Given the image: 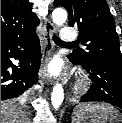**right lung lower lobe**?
I'll list each match as a JSON object with an SVG mask.
<instances>
[{"label":"right lung lower lobe","mask_w":122,"mask_h":123,"mask_svg":"<svg viewBox=\"0 0 122 123\" xmlns=\"http://www.w3.org/2000/svg\"><path fill=\"white\" fill-rule=\"evenodd\" d=\"M18 60L14 65L12 60ZM41 61L39 38H1V100L21 97L37 82Z\"/></svg>","instance_id":"obj_1"}]
</instances>
